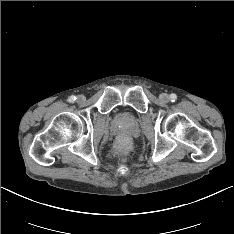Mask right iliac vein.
<instances>
[{
    "instance_id": "obj_1",
    "label": "right iliac vein",
    "mask_w": 234,
    "mask_h": 234,
    "mask_svg": "<svg viewBox=\"0 0 234 234\" xmlns=\"http://www.w3.org/2000/svg\"><path fill=\"white\" fill-rule=\"evenodd\" d=\"M84 100H85V97L83 95H78L77 96V102L78 103H82V102H84Z\"/></svg>"
}]
</instances>
